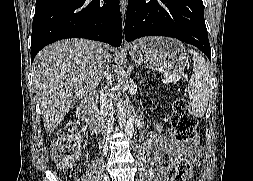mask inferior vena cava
I'll return each mask as SVG.
<instances>
[{
  "mask_svg": "<svg viewBox=\"0 0 253 181\" xmlns=\"http://www.w3.org/2000/svg\"><path fill=\"white\" fill-rule=\"evenodd\" d=\"M106 67H108V66H106ZM107 82L111 83V76L109 78H107ZM102 104H103L104 115L106 116V120L108 121L107 127H108L110 133H114L113 127H114L115 120L113 119L112 97L109 94V92H107V91H105V97H104ZM108 134H109V132L105 133L106 136H108Z\"/></svg>",
  "mask_w": 253,
  "mask_h": 181,
  "instance_id": "obj_1",
  "label": "inferior vena cava"
}]
</instances>
